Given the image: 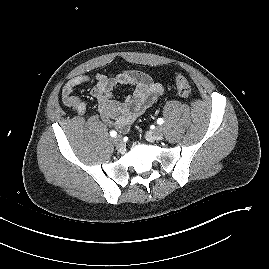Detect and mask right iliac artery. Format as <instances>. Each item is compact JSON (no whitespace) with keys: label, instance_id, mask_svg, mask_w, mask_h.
Here are the masks:
<instances>
[{"label":"right iliac artery","instance_id":"1","mask_svg":"<svg viewBox=\"0 0 269 269\" xmlns=\"http://www.w3.org/2000/svg\"><path fill=\"white\" fill-rule=\"evenodd\" d=\"M110 135H111L112 137H115V136L117 135V133H116L115 131H111V132H110Z\"/></svg>","mask_w":269,"mask_h":269}]
</instances>
